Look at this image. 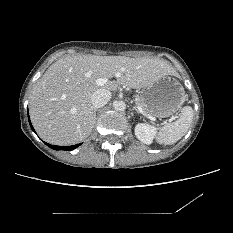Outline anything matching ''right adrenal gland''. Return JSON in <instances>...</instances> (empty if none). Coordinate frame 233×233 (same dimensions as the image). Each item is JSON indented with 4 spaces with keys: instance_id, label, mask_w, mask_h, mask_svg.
Returning a JSON list of instances; mask_svg holds the SVG:
<instances>
[{
    "instance_id": "2a0ac1e0",
    "label": "right adrenal gland",
    "mask_w": 233,
    "mask_h": 233,
    "mask_svg": "<svg viewBox=\"0 0 233 233\" xmlns=\"http://www.w3.org/2000/svg\"><path fill=\"white\" fill-rule=\"evenodd\" d=\"M96 112H97V109L94 110L95 118H96Z\"/></svg>"
}]
</instances>
